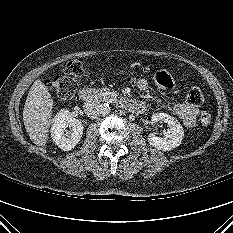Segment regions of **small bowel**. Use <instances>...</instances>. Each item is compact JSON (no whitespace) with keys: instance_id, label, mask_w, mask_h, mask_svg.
I'll return each mask as SVG.
<instances>
[{"instance_id":"obj_1","label":"small bowel","mask_w":233,"mask_h":233,"mask_svg":"<svg viewBox=\"0 0 233 233\" xmlns=\"http://www.w3.org/2000/svg\"><path fill=\"white\" fill-rule=\"evenodd\" d=\"M156 83L163 89H170L173 86V80L171 76L166 71H158L155 74ZM139 89L146 90L148 88V81L145 78H141L137 83ZM142 105V110L146 108L145 103H140ZM172 111L176 116H178L183 124L191 128L196 123V117L199 113L197 107H193L186 102L176 103L172 107Z\"/></svg>"}]
</instances>
